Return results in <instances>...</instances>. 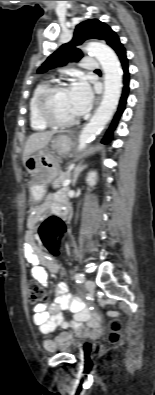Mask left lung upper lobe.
<instances>
[{
    "mask_svg": "<svg viewBox=\"0 0 155 395\" xmlns=\"http://www.w3.org/2000/svg\"><path fill=\"white\" fill-rule=\"evenodd\" d=\"M91 38L106 41L118 56L126 53L119 37L107 24L98 19H89L77 25L72 40L63 44L51 54L39 67L38 73H44L57 66H63L73 60L78 61L83 55L76 46L81 45L85 40Z\"/></svg>",
    "mask_w": 155,
    "mask_h": 395,
    "instance_id": "5c2ea615",
    "label": "left lung upper lobe"
}]
</instances>
